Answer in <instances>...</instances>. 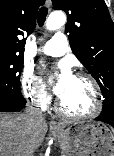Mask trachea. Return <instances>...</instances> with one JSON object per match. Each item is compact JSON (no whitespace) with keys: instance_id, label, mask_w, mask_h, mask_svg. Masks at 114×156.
Listing matches in <instances>:
<instances>
[{"instance_id":"3493384b","label":"trachea","mask_w":114,"mask_h":156,"mask_svg":"<svg viewBox=\"0 0 114 156\" xmlns=\"http://www.w3.org/2000/svg\"><path fill=\"white\" fill-rule=\"evenodd\" d=\"M47 13H48V10L46 7L40 8L38 15H37V23L40 27L44 25L46 17H47Z\"/></svg>"}]
</instances>
